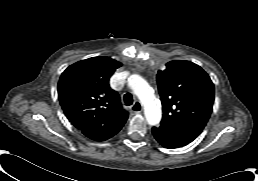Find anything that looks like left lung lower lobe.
Returning a JSON list of instances; mask_svg holds the SVG:
<instances>
[{"mask_svg": "<svg viewBox=\"0 0 258 181\" xmlns=\"http://www.w3.org/2000/svg\"><path fill=\"white\" fill-rule=\"evenodd\" d=\"M152 133L155 139L165 148H178L192 142L197 136L191 133L163 126L153 127Z\"/></svg>", "mask_w": 258, "mask_h": 181, "instance_id": "obj_1", "label": "left lung lower lobe"}]
</instances>
